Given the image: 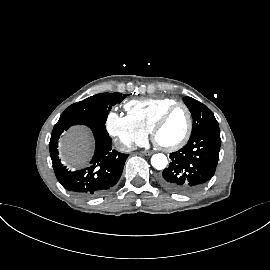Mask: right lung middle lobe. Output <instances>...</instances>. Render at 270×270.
I'll use <instances>...</instances> for the list:
<instances>
[{"instance_id": "1", "label": "right lung middle lobe", "mask_w": 270, "mask_h": 270, "mask_svg": "<svg viewBox=\"0 0 270 270\" xmlns=\"http://www.w3.org/2000/svg\"><path fill=\"white\" fill-rule=\"evenodd\" d=\"M127 94L100 93L83 101L70 105L60 116L59 121L69 119H93L102 124L106 123L109 111L120 103Z\"/></svg>"}]
</instances>
